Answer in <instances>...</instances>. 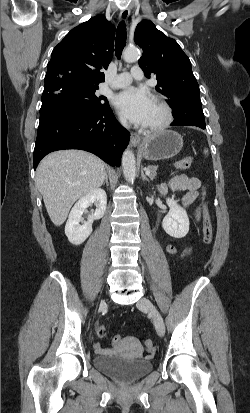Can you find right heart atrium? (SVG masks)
<instances>
[{
  "label": "right heart atrium",
  "instance_id": "d8ad5b80",
  "mask_svg": "<svg viewBox=\"0 0 250 413\" xmlns=\"http://www.w3.org/2000/svg\"><path fill=\"white\" fill-rule=\"evenodd\" d=\"M119 122H120L121 125L127 126L126 120H125L123 117H121V116L119 117Z\"/></svg>",
  "mask_w": 250,
  "mask_h": 413
}]
</instances>
